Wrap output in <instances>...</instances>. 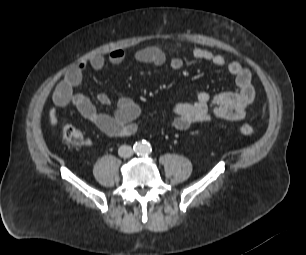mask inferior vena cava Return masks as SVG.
I'll list each match as a JSON object with an SVG mask.
<instances>
[{
  "label": "inferior vena cava",
  "mask_w": 306,
  "mask_h": 255,
  "mask_svg": "<svg viewBox=\"0 0 306 255\" xmlns=\"http://www.w3.org/2000/svg\"><path fill=\"white\" fill-rule=\"evenodd\" d=\"M118 154L120 157L129 158L133 155V150L130 146L122 145L118 149Z\"/></svg>",
  "instance_id": "inferior-vena-cava-1"
}]
</instances>
